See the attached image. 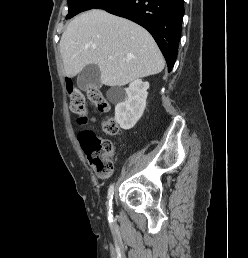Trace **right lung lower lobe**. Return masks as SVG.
<instances>
[{
  "label": "right lung lower lobe",
  "mask_w": 248,
  "mask_h": 258,
  "mask_svg": "<svg viewBox=\"0 0 248 258\" xmlns=\"http://www.w3.org/2000/svg\"><path fill=\"white\" fill-rule=\"evenodd\" d=\"M144 27L155 39L170 72L176 61L184 0H111L98 7Z\"/></svg>",
  "instance_id": "obj_1"
}]
</instances>
